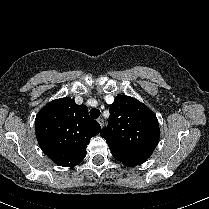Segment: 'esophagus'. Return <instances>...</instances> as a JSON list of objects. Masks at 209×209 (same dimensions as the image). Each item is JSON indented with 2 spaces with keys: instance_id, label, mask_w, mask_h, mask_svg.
Segmentation results:
<instances>
[{
  "instance_id": "1",
  "label": "esophagus",
  "mask_w": 209,
  "mask_h": 209,
  "mask_svg": "<svg viewBox=\"0 0 209 209\" xmlns=\"http://www.w3.org/2000/svg\"><path fill=\"white\" fill-rule=\"evenodd\" d=\"M97 121H98L99 125L101 126V128H103L104 120L102 118H99Z\"/></svg>"
}]
</instances>
